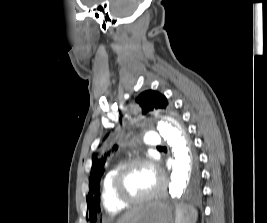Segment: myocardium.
<instances>
[{"label":"myocardium","mask_w":267,"mask_h":223,"mask_svg":"<svg viewBox=\"0 0 267 223\" xmlns=\"http://www.w3.org/2000/svg\"><path fill=\"white\" fill-rule=\"evenodd\" d=\"M139 165H144L149 167L158 177V184L155 187V189L150 193L138 198H130L127 197L123 192L122 188L123 182L127 174L130 172V170ZM164 187H165L164 175L161 173L157 165V162L149 156L137 157L124 163L118 170L112 182V189L115 197L124 205H136L151 201L161 194Z\"/></svg>","instance_id":"f54148a6"}]
</instances>
